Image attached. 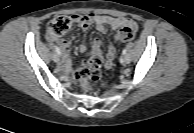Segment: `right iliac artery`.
I'll return each mask as SVG.
<instances>
[{"instance_id": "82829eb1", "label": "right iliac artery", "mask_w": 194, "mask_h": 133, "mask_svg": "<svg viewBox=\"0 0 194 133\" xmlns=\"http://www.w3.org/2000/svg\"><path fill=\"white\" fill-rule=\"evenodd\" d=\"M55 49H56V53H57L58 55H60V54H61L60 48H59L58 46H55Z\"/></svg>"}]
</instances>
